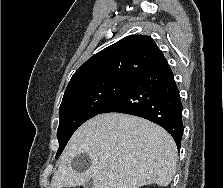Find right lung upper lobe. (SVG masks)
<instances>
[{"label": "right lung upper lobe", "instance_id": "right-lung-upper-lobe-1", "mask_svg": "<svg viewBox=\"0 0 224 188\" xmlns=\"http://www.w3.org/2000/svg\"><path fill=\"white\" fill-rule=\"evenodd\" d=\"M165 60L155 41L146 35H130L88 59L67 87L104 78L134 79Z\"/></svg>", "mask_w": 224, "mask_h": 188}]
</instances>
